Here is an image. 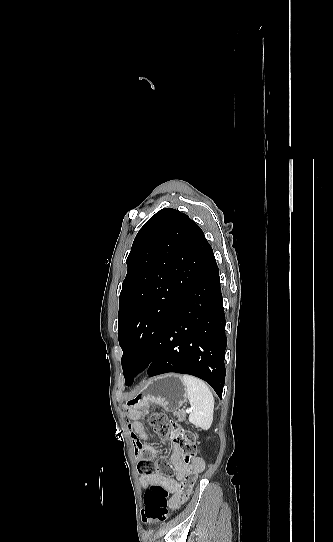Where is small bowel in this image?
I'll list each match as a JSON object with an SVG mask.
<instances>
[{
	"label": "small bowel",
	"mask_w": 333,
	"mask_h": 542,
	"mask_svg": "<svg viewBox=\"0 0 333 542\" xmlns=\"http://www.w3.org/2000/svg\"><path fill=\"white\" fill-rule=\"evenodd\" d=\"M125 421L128 423L131 417L130 411L124 412ZM136 418L134 422L129 425L131 431V439L135 448L134 457L140 458L144 463H149L152 458L157 457V450L148 443V436L145 432L143 424L138 420L139 415L133 414ZM172 452L170 455V462L173 466L176 478H170L160 473L147 475L141 478V485L143 487H149L152 485H161L165 487L171 494L169 504L171 508L178 509L188 498L189 493H183L181 486L183 483L191 479L193 483L196 482L199 474L205 469V462L199 457L190 456L182 447L175 441L171 443ZM142 453V455H141Z\"/></svg>",
	"instance_id": "c3829d8e"
}]
</instances>
